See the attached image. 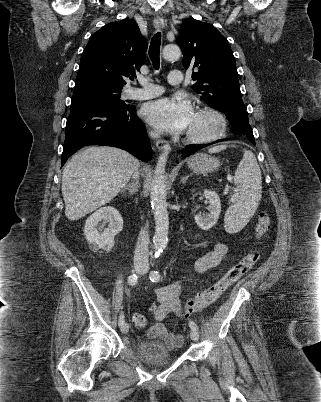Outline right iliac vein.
<instances>
[{
    "mask_svg": "<svg viewBox=\"0 0 321 402\" xmlns=\"http://www.w3.org/2000/svg\"><path fill=\"white\" fill-rule=\"evenodd\" d=\"M134 270H135L136 272H138V273H140V272L143 271V269H142L141 267H138V266H136ZM128 331H129V325H128L127 323H124V324L121 326V332H122L123 334H126Z\"/></svg>",
    "mask_w": 321,
    "mask_h": 402,
    "instance_id": "obj_1",
    "label": "right iliac vein"
}]
</instances>
